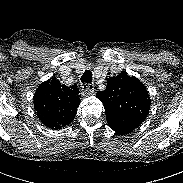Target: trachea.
<instances>
[{
  "label": "trachea",
  "mask_w": 183,
  "mask_h": 183,
  "mask_svg": "<svg viewBox=\"0 0 183 183\" xmlns=\"http://www.w3.org/2000/svg\"><path fill=\"white\" fill-rule=\"evenodd\" d=\"M82 83H91L92 82V72L90 70H86L82 77H81ZM86 88V86H84Z\"/></svg>",
  "instance_id": "trachea-1"
}]
</instances>
